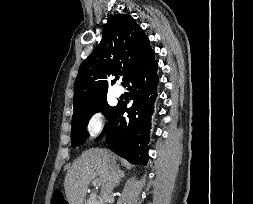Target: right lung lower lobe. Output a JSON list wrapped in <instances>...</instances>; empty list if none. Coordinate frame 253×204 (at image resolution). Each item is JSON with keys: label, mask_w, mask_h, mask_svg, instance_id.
<instances>
[{"label": "right lung lower lobe", "mask_w": 253, "mask_h": 204, "mask_svg": "<svg viewBox=\"0 0 253 204\" xmlns=\"http://www.w3.org/2000/svg\"><path fill=\"white\" fill-rule=\"evenodd\" d=\"M151 50L145 60L129 76L124 86L130 90L131 107L119 103L103 133L109 148L132 164L145 165L148 161L151 115L157 97L158 65ZM128 113L125 119L122 115Z\"/></svg>", "instance_id": "right-lung-lower-lobe-1"}]
</instances>
